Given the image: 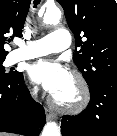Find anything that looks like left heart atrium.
I'll return each mask as SVG.
<instances>
[{"label":"left heart atrium","instance_id":"39dd6f15","mask_svg":"<svg viewBox=\"0 0 117 136\" xmlns=\"http://www.w3.org/2000/svg\"><path fill=\"white\" fill-rule=\"evenodd\" d=\"M31 79L43 86L52 96L58 95L70 83L69 71L60 62L39 60L29 69Z\"/></svg>","mask_w":117,"mask_h":136}]
</instances>
